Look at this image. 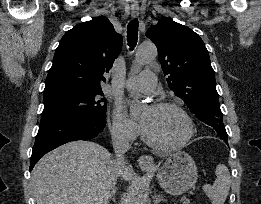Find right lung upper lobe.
Returning <instances> with one entry per match:
<instances>
[{
  "label": "right lung upper lobe",
  "instance_id": "1",
  "mask_svg": "<svg viewBox=\"0 0 261 204\" xmlns=\"http://www.w3.org/2000/svg\"><path fill=\"white\" fill-rule=\"evenodd\" d=\"M122 48V36L107 17L77 24L67 31L56 49L44 94L62 90H101Z\"/></svg>",
  "mask_w": 261,
  "mask_h": 204
}]
</instances>
